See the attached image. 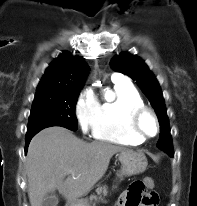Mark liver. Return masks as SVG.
Masks as SVG:
<instances>
[{
  "mask_svg": "<svg viewBox=\"0 0 197 206\" xmlns=\"http://www.w3.org/2000/svg\"><path fill=\"white\" fill-rule=\"evenodd\" d=\"M122 151L128 149L101 141L87 143L63 127L40 131L30 142L25 164L31 206H42L45 196L55 190L70 203L78 201L103 177L111 157Z\"/></svg>",
  "mask_w": 197,
  "mask_h": 206,
  "instance_id": "liver-1",
  "label": "liver"
}]
</instances>
